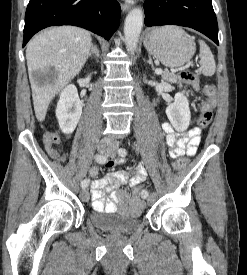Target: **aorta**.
Masks as SVG:
<instances>
[{"label":"aorta","mask_w":247,"mask_h":275,"mask_svg":"<svg viewBox=\"0 0 247 275\" xmlns=\"http://www.w3.org/2000/svg\"><path fill=\"white\" fill-rule=\"evenodd\" d=\"M143 26V12L139 8L132 9L124 23V38L127 51L131 54L137 49Z\"/></svg>","instance_id":"aorta-1"}]
</instances>
